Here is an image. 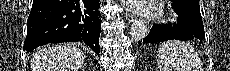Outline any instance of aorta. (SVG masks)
<instances>
[{
	"mask_svg": "<svg viewBox=\"0 0 230 71\" xmlns=\"http://www.w3.org/2000/svg\"><path fill=\"white\" fill-rule=\"evenodd\" d=\"M130 38L133 41L139 42L148 34V25L145 20L135 21L130 28Z\"/></svg>",
	"mask_w": 230,
	"mask_h": 71,
	"instance_id": "aorta-1",
	"label": "aorta"
}]
</instances>
